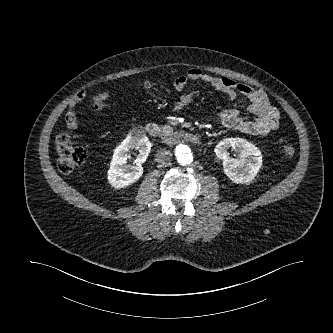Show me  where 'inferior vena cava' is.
Returning <instances> with one entry per match:
<instances>
[{
	"label": "inferior vena cava",
	"mask_w": 333,
	"mask_h": 333,
	"mask_svg": "<svg viewBox=\"0 0 333 333\" xmlns=\"http://www.w3.org/2000/svg\"><path fill=\"white\" fill-rule=\"evenodd\" d=\"M155 157L158 163H167L171 160L172 154L169 150L161 149L156 153Z\"/></svg>",
	"instance_id": "inferior-vena-cava-1"
}]
</instances>
